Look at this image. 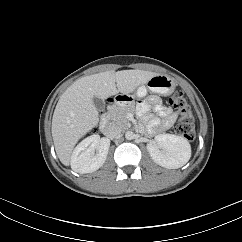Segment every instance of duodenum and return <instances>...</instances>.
I'll return each instance as SVG.
<instances>
[{
  "mask_svg": "<svg viewBox=\"0 0 242 242\" xmlns=\"http://www.w3.org/2000/svg\"><path fill=\"white\" fill-rule=\"evenodd\" d=\"M120 98L116 97L115 100H113L109 107H108V112L103 115L102 120L100 122V129L103 133H109L110 132V127H109V112L112 110V107L119 102Z\"/></svg>",
  "mask_w": 242,
  "mask_h": 242,
  "instance_id": "duodenum-1",
  "label": "duodenum"
}]
</instances>
